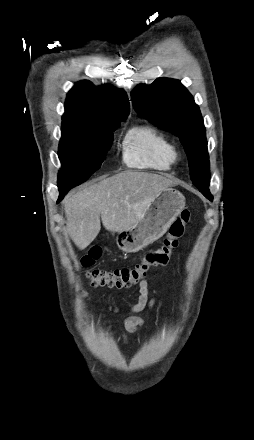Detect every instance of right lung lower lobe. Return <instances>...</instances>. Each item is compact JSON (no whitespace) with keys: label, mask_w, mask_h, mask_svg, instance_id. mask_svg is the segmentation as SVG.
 Wrapping results in <instances>:
<instances>
[{"label":"right lung lower lobe","mask_w":254,"mask_h":440,"mask_svg":"<svg viewBox=\"0 0 254 440\" xmlns=\"http://www.w3.org/2000/svg\"><path fill=\"white\" fill-rule=\"evenodd\" d=\"M69 190H70V189H68V188H59L60 195H59V198H58L57 203H59V202L63 199V197L65 196V194H66Z\"/></svg>","instance_id":"right-lung-lower-lobe-1"}]
</instances>
